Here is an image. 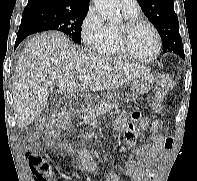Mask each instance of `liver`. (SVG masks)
Wrapping results in <instances>:
<instances>
[{
  "label": "liver",
  "instance_id": "1",
  "mask_svg": "<svg viewBox=\"0 0 197 181\" xmlns=\"http://www.w3.org/2000/svg\"><path fill=\"white\" fill-rule=\"evenodd\" d=\"M149 68L120 59L96 55L59 32H44L30 39L21 52L13 76L15 119L25 128L44 110L49 87L57 85L67 93L116 89L135 81ZM91 78L78 84L74 76Z\"/></svg>",
  "mask_w": 197,
  "mask_h": 181
}]
</instances>
